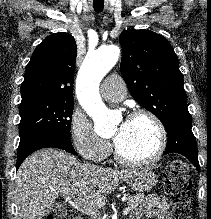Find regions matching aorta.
<instances>
[{
    "mask_svg": "<svg viewBox=\"0 0 211 219\" xmlns=\"http://www.w3.org/2000/svg\"><path fill=\"white\" fill-rule=\"evenodd\" d=\"M119 55L120 50L115 45L100 47L87 54L77 76V96L87 114L92 117L95 132L101 137L113 135L118 117L103 104L99 84L116 64Z\"/></svg>",
    "mask_w": 211,
    "mask_h": 219,
    "instance_id": "762f6f07",
    "label": "aorta"
}]
</instances>
